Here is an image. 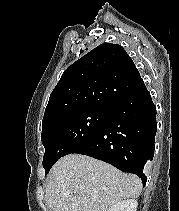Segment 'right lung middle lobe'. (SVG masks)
<instances>
[{
	"label": "right lung middle lobe",
	"instance_id": "right-lung-middle-lobe-1",
	"mask_svg": "<svg viewBox=\"0 0 179 211\" xmlns=\"http://www.w3.org/2000/svg\"><path fill=\"white\" fill-rule=\"evenodd\" d=\"M109 108H90L60 117L42 129L45 147L43 167L46 174L62 156L73 153L89 142L102 128L110 115Z\"/></svg>",
	"mask_w": 179,
	"mask_h": 211
}]
</instances>
